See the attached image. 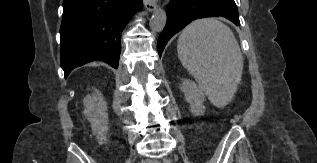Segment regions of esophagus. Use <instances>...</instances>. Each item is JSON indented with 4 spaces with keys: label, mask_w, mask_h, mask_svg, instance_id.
Listing matches in <instances>:
<instances>
[{
    "label": "esophagus",
    "mask_w": 317,
    "mask_h": 163,
    "mask_svg": "<svg viewBox=\"0 0 317 163\" xmlns=\"http://www.w3.org/2000/svg\"><path fill=\"white\" fill-rule=\"evenodd\" d=\"M145 8L152 12L157 8L156 3L153 0H143Z\"/></svg>",
    "instance_id": "34e87169"
}]
</instances>
